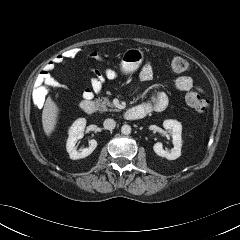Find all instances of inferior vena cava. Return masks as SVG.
I'll list each match as a JSON object with an SVG mask.
<instances>
[{
    "label": "inferior vena cava",
    "instance_id": "inferior-vena-cava-1",
    "mask_svg": "<svg viewBox=\"0 0 240 240\" xmlns=\"http://www.w3.org/2000/svg\"><path fill=\"white\" fill-rule=\"evenodd\" d=\"M104 128L107 130H113L116 126V122L113 119H106L103 123Z\"/></svg>",
    "mask_w": 240,
    "mask_h": 240
}]
</instances>
